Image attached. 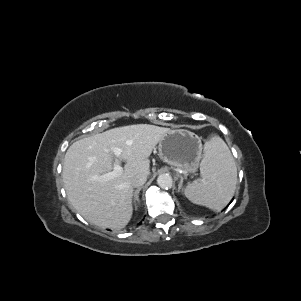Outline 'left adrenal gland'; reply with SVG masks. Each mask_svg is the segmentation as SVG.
<instances>
[{
  "label": "left adrenal gland",
  "instance_id": "1",
  "mask_svg": "<svg viewBox=\"0 0 301 301\" xmlns=\"http://www.w3.org/2000/svg\"><path fill=\"white\" fill-rule=\"evenodd\" d=\"M180 177V183L178 185V192L182 189V184H183V177L181 175H178Z\"/></svg>",
  "mask_w": 301,
  "mask_h": 301
}]
</instances>
